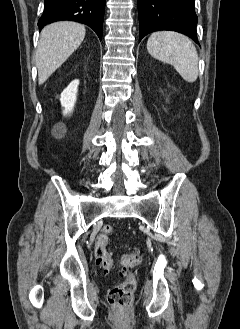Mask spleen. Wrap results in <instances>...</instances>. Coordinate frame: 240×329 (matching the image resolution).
<instances>
[{
    "mask_svg": "<svg viewBox=\"0 0 240 329\" xmlns=\"http://www.w3.org/2000/svg\"><path fill=\"white\" fill-rule=\"evenodd\" d=\"M147 50L154 58L173 65L185 81L197 80L198 54L188 37L172 31H158L150 35Z\"/></svg>",
    "mask_w": 240,
    "mask_h": 329,
    "instance_id": "3e777b00",
    "label": "spleen"
}]
</instances>
